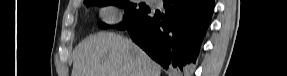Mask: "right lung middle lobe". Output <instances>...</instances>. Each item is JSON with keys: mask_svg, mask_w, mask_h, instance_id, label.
Returning a JSON list of instances; mask_svg holds the SVG:
<instances>
[{"mask_svg": "<svg viewBox=\"0 0 287 76\" xmlns=\"http://www.w3.org/2000/svg\"><path fill=\"white\" fill-rule=\"evenodd\" d=\"M84 3L87 6H92L94 4L99 6H108L112 4L125 9L126 14L124 15L123 22L115 26H109L105 23H101L99 27L102 29L115 27L119 30H125L142 16H144L149 10V7L145 3H140L137 5L129 2V0H88Z\"/></svg>", "mask_w": 287, "mask_h": 76, "instance_id": "dd1d6c3e", "label": "right lung middle lobe"}]
</instances>
